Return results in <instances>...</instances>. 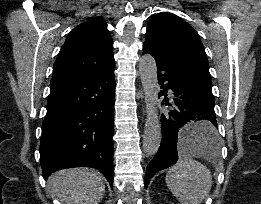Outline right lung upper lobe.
Returning <instances> with one entry per match:
<instances>
[{"mask_svg": "<svg viewBox=\"0 0 261 204\" xmlns=\"http://www.w3.org/2000/svg\"><path fill=\"white\" fill-rule=\"evenodd\" d=\"M106 22L96 17L76 26L66 38L53 67L50 85L96 74L114 65Z\"/></svg>", "mask_w": 261, "mask_h": 204, "instance_id": "obj_1", "label": "right lung upper lobe"}]
</instances>
